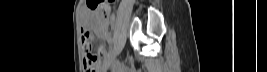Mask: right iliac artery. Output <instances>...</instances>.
<instances>
[{"mask_svg":"<svg viewBox=\"0 0 267 72\" xmlns=\"http://www.w3.org/2000/svg\"><path fill=\"white\" fill-rule=\"evenodd\" d=\"M113 53H114V46H111L107 53V58H109Z\"/></svg>","mask_w":267,"mask_h":72,"instance_id":"obj_1","label":"right iliac artery"}]
</instances>
